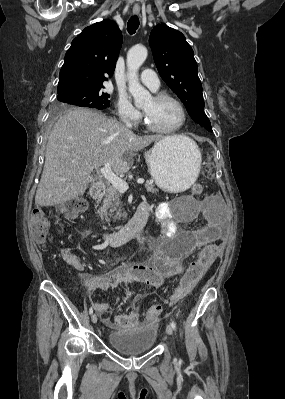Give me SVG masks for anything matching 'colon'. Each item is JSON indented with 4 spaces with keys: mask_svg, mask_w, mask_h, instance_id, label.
Listing matches in <instances>:
<instances>
[{
    "mask_svg": "<svg viewBox=\"0 0 285 399\" xmlns=\"http://www.w3.org/2000/svg\"><path fill=\"white\" fill-rule=\"evenodd\" d=\"M203 189L196 184L192 187L191 192L194 196L201 195ZM86 207L85 201L72 200L65 205L54 209L47 213L41 209H34L29 217L28 226L31 237L36 243L43 244L49 242V230L51 227V219L57 215H67L71 218L76 217ZM218 244L210 245L204 248L202 257L197 261L189 264L186 273L180 281L178 288V295H183L190 290L192 285L198 281L208 268L211 257L217 248ZM162 307L160 305H153L141 313L146 322L155 321L158 319Z\"/></svg>",
    "mask_w": 285,
    "mask_h": 399,
    "instance_id": "5ec220e1",
    "label": "colon"
}]
</instances>
